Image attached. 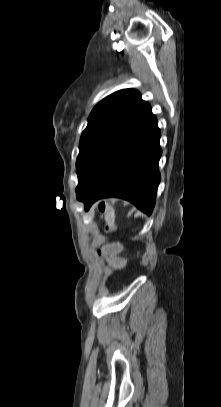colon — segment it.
Listing matches in <instances>:
<instances>
[{"label":"colon","instance_id":"colon-1","mask_svg":"<svg viewBox=\"0 0 221 407\" xmlns=\"http://www.w3.org/2000/svg\"><path fill=\"white\" fill-rule=\"evenodd\" d=\"M99 210L101 213L104 214L106 226V231H113L115 229V215L113 209L102 203L99 206ZM123 249V244L121 242H117L113 240L112 242H105L103 244V250L98 252L99 255H107L111 258L113 264H126L128 262V257L126 255H119L117 260L114 258V255H118L120 251ZM123 271H126V268H123Z\"/></svg>","mask_w":221,"mask_h":407}]
</instances>
